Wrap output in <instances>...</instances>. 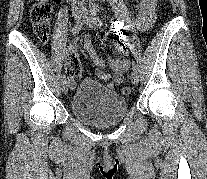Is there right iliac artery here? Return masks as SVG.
<instances>
[{"mask_svg": "<svg viewBox=\"0 0 207 179\" xmlns=\"http://www.w3.org/2000/svg\"><path fill=\"white\" fill-rule=\"evenodd\" d=\"M83 22H84V20H79V21L76 22V24L72 28L73 35H76L77 33H79V31L81 30V28L83 26ZM62 81L63 82H66L65 75L62 76ZM68 82H70V79H68Z\"/></svg>", "mask_w": 207, "mask_h": 179, "instance_id": "82829eb1", "label": "right iliac artery"}]
</instances>
